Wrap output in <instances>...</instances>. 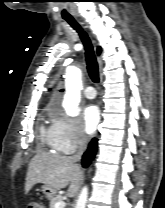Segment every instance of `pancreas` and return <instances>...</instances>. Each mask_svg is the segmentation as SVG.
Wrapping results in <instances>:
<instances>
[{
	"mask_svg": "<svg viewBox=\"0 0 165 208\" xmlns=\"http://www.w3.org/2000/svg\"><path fill=\"white\" fill-rule=\"evenodd\" d=\"M61 201H63V197L62 196H54L52 199H51V201H50V208H55V204L57 203V202H61Z\"/></svg>",
	"mask_w": 165,
	"mask_h": 208,
	"instance_id": "cf45deb5",
	"label": "pancreas"
}]
</instances>
